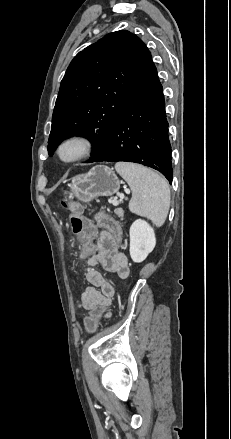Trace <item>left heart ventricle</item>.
<instances>
[{
    "instance_id": "b2bd125f",
    "label": "left heart ventricle",
    "mask_w": 231,
    "mask_h": 439,
    "mask_svg": "<svg viewBox=\"0 0 231 439\" xmlns=\"http://www.w3.org/2000/svg\"><path fill=\"white\" fill-rule=\"evenodd\" d=\"M77 150L78 148L76 146H69L63 151V156L66 158L71 157L76 154Z\"/></svg>"
}]
</instances>
